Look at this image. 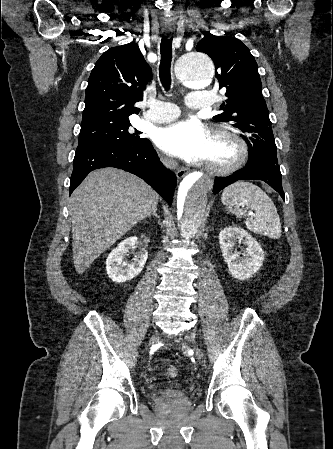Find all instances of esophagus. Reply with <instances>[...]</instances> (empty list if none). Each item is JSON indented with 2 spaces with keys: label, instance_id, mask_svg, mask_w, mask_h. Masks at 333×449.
Masks as SVG:
<instances>
[{
  "label": "esophagus",
  "instance_id": "obj_1",
  "mask_svg": "<svg viewBox=\"0 0 333 449\" xmlns=\"http://www.w3.org/2000/svg\"><path fill=\"white\" fill-rule=\"evenodd\" d=\"M165 32H166V34L168 36H170L171 33H172V30L171 29H166ZM185 174H186V170L185 169H179L177 171V173H176V176H177L178 179H181V178H183L185 176Z\"/></svg>",
  "mask_w": 333,
  "mask_h": 449
}]
</instances>
